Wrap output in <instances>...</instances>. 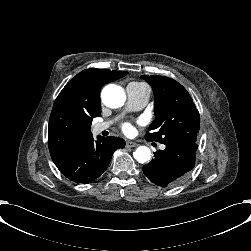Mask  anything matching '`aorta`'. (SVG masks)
I'll use <instances>...</instances> for the list:
<instances>
[{"mask_svg": "<svg viewBox=\"0 0 251 251\" xmlns=\"http://www.w3.org/2000/svg\"><path fill=\"white\" fill-rule=\"evenodd\" d=\"M102 102L110 108H118L124 105L126 94L121 86L108 84L101 92ZM135 160L144 164L151 159V151L147 146H139L134 152Z\"/></svg>", "mask_w": 251, "mask_h": 251, "instance_id": "aorta-1", "label": "aorta"}]
</instances>
